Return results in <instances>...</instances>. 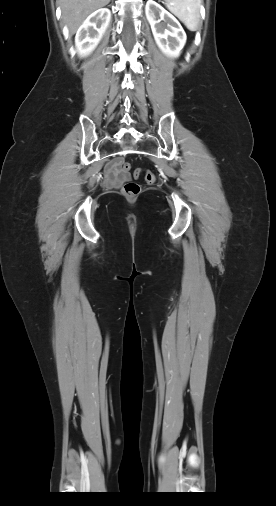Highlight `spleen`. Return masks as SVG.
<instances>
[{"mask_svg": "<svg viewBox=\"0 0 276 506\" xmlns=\"http://www.w3.org/2000/svg\"><path fill=\"white\" fill-rule=\"evenodd\" d=\"M165 5L190 31L198 29L201 0H165Z\"/></svg>", "mask_w": 276, "mask_h": 506, "instance_id": "1", "label": "spleen"}]
</instances>
